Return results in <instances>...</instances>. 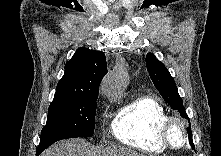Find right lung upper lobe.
<instances>
[{"mask_svg":"<svg viewBox=\"0 0 221 156\" xmlns=\"http://www.w3.org/2000/svg\"><path fill=\"white\" fill-rule=\"evenodd\" d=\"M106 73L103 52L82 47L77 49L65 65V73L58 82L53 102L98 95L100 82Z\"/></svg>","mask_w":221,"mask_h":156,"instance_id":"cb5924a9","label":"right lung upper lobe"}]
</instances>
